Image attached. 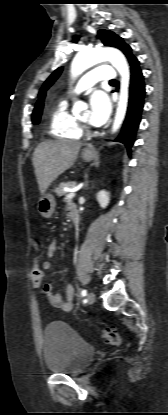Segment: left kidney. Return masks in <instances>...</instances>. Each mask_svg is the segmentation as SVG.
Masks as SVG:
<instances>
[{
    "instance_id": "obj_1",
    "label": "left kidney",
    "mask_w": 168,
    "mask_h": 415,
    "mask_svg": "<svg viewBox=\"0 0 168 415\" xmlns=\"http://www.w3.org/2000/svg\"><path fill=\"white\" fill-rule=\"evenodd\" d=\"M96 199L102 208H106L109 204L110 196L108 192L101 190L97 193Z\"/></svg>"
}]
</instances>
